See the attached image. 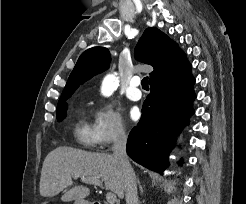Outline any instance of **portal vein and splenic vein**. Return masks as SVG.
I'll use <instances>...</instances> for the list:
<instances>
[{
  "label": "portal vein and splenic vein",
  "mask_w": 246,
  "mask_h": 204,
  "mask_svg": "<svg viewBox=\"0 0 246 204\" xmlns=\"http://www.w3.org/2000/svg\"><path fill=\"white\" fill-rule=\"evenodd\" d=\"M75 179L78 177L77 175L73 176ZM81 181L84 183L94 184L97 186H102V182L99 179H91V178H85L82 177ZM106 199L109 204H114L117 201V197L113 192H107L106 193Z\"/></svg>",
  "instance_id": "18ae733b"
}]
</instances>
